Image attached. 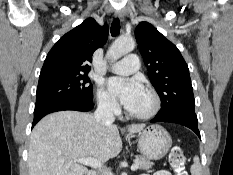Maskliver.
Wrapping results in <instances>:
<instances>
[{"label": "liver", "instance_id": "6515ba94", "mask_svg": "<svg viewBox=\"0 0 233 175\" xmlns=\"http://www.w3.org/2000/svg\"><path fill=\"white\" fill-rule=\"evenodd\" d=\"M144 126L132 125L128 132H140ZM121 149L117 126H102L89 113L55 112L45 116L32 130L29 175H84L88 169L76 159L90 157L104 163L115 158Z\"/></svg>", "mask_w": 233, "mask_h": 175}]
</instances>
